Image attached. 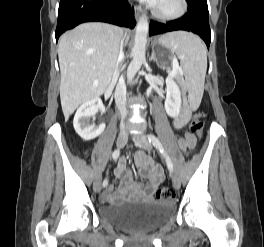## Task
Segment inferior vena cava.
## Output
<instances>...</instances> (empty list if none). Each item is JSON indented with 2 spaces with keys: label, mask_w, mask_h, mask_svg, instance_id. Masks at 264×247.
I'll list each match as a JSON object with an SVG mask.
<instances>
[{
  "label": "inferior vena cava",
  "mask_w": 264,
  "mask_h": 247,
  "mask_svg": "<svg viewBox=\"0 0 264 247\" xmlns=\"http://www.w3.org/2000/svg\"><path fill=\"white\" fill-rule=\"evenodd\" d=\"M124 59V53H123V41L120 45V50L118 54V58L116 61V66L113 73L112 81L116 82V89H115V102L118 107V110L122 117H125L127 114V108H126V86L123 80L119 79V64Z\"/></svg>",
  "instance_id": "602c4592"
}]
</instances>
